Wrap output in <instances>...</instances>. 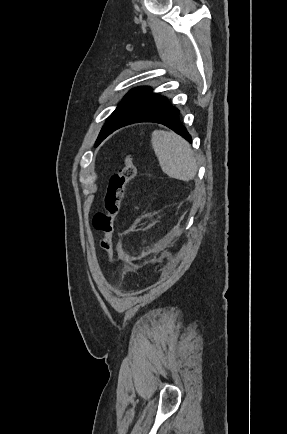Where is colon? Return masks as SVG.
I'll return each mask as SVG.
<instances>
[{
    "label": "colon",
    "instance_id": "1",
    "mask_svg": "<svg viewBox=\"0 0 287 434\" xmlns=\"http://www.w3.org/2000/svg\"><path fill=\"white\" fill-rule=\"evenodd\" d=\"M137 174V168L131 155H127L119 169L108 183L104 198L103 210L93 217V225L101 234L99 245L104 253L105 262L109 266L113 256V235L117 216L121 212L122 203L128 185Z\"/></svg>",
    "mask_w": 287,
    "mask_h": 434
}]
</instances>
